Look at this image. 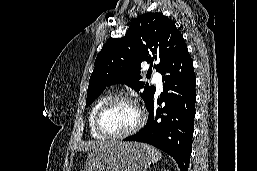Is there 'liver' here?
Listing matches in <instances>:
<instances>
[{
    "label": "liver",
    "mask_w": 257,
    "mask_h": 171,
    "mask_svg": "<svg viewBox=\"0 0 257 171\" xmlns=\"http://www.w3.org/2000/svg\"><path fill=\"white\" fill-rule=\"evenodd\" d=\"M112 142H92L84 145L86 151H97Z\"/></svg>",
    "instance_id": "6515ba94"
}]
</instances>
